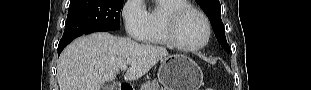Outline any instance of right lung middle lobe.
Instances as JSON below:
<instances>
[{
    "mask_svg": "<svg viewBox=\"0 0 311 90\" xmlns=\"http://www.w3.org/2000/svg\"><path fill=\"white\" fill-rule=\"evenodd\" d=\"M123 0H71L60 43L83 34L120 29Z\"/></svg>",
    "mask_w": 311,
    "mask_h": 90,
    "instance_id": "obj_1",
    "label": "right lung middle lobe"
}]
</instances>
